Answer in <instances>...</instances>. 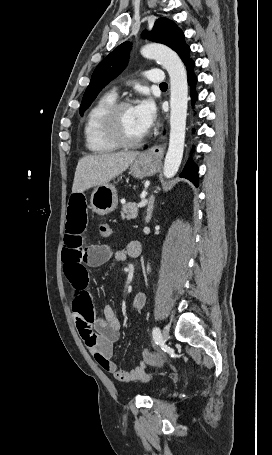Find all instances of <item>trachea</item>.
Returning a JSON list of instances; mask_svg holds the SVG:
<instances>
[{
  "instance_id": "trachea-1",
  "label": "trachea",
  "mask_w": 272,
  "mask_h": 455,
  "mask_svg": "<svg viewBox=\"0 0 272 455\" xmlns=\"http://www.w3.org/2000/svg\"><path fill=\"white\" fill-rule=\"evenodd\" d=\"M160 87H162V88H163V87H167V83H161V84H160Z\"/></svg>"
}]
</instances>
